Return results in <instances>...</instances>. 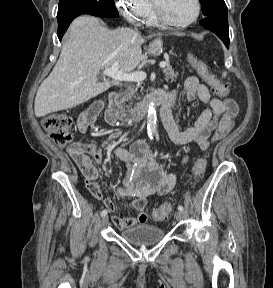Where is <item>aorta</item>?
<instances>
[{"label": "aorta", "instance_id": "1", "mask_svg": "<svg viewBox=\"0 0 273 288\" xmlns=\"http://www.w3.org/2000/svg\"><path fill=\"white\" fill-rule=\"evenodd\" d=\"M156 129H157L156 109L154 107V104L151 103L149 105L147 113V132L150 139H153Z\"/></svg>", "mask_w": 273, "mask_h": 288}]
</instances>
